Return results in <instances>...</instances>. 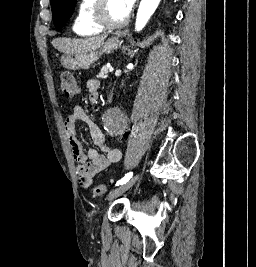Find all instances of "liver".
<instances>
[{
    "label": "liver",
    "mask_w": 256,
    "mask_h": 267,
    "mask_svg": "<svg viewBox=\"0 0 256 267\" xmlns=\"http://www.w3.org/2000/svg\"><path fill=\"white\" fill-rule=\"evenodd\" d=\"M107 36H90V38H57L51 42L52 46H55L58 52H64V54H86L90 50H98Z\"/></svg>",
    "instance_id": "obj_1"
}]
</instances>
